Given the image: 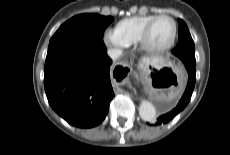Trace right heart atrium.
I'll use <instances>...</instances> for the list:
<instances>
[{
	"instance_id": "right-heart-atrium-1",
	"label": "right heart atrium",
	"mask_w": 230,
	"mask_h": 155,
	"mask_svg": "<svg viewBox=\"0 0 230 155\" xmlns=\"http://www.w3.org/2000/svg\"><path fill=\"white\" fill-rule=\"evenodd\" d=\"M104 43L118 52L126 49L127 44L114 30H107L103 36Z\"/></svg>"
}]
</instances>
